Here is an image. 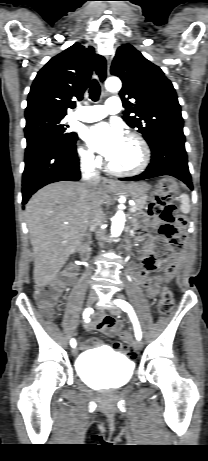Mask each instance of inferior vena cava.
<instances>
[{
	"label": "inferior vena cava",
	"instance_id": "1",
	"mask_svg": "<svg viewBox=\"0 0 208 461\" xmlns=\"http://www.w3.org/2000/svg\"><path fill=\"white\" fill-rule=\"evenodd\" d=\"M81 171L82 177L84 180V184L90 194H94L99 183H100V176L95 171L93 157L87 156L84 157L81 161ZM104 222V214L100 206L96 204V202L92 203L91 213L88 220L89 226L92 230L95 231L96 236L98 238L102 237L104 231L101 229V226Z\"/></svg>",
	"mask_w": 208,
	"mask_h": 461
}]
</instances>
